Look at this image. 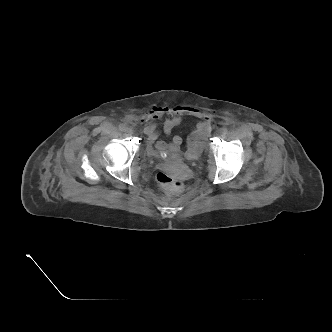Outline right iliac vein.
<instances>
[{
    "mask_svg": "<svg viewBox=\"0 0 332 332\" xmlns=\"http://www.w3.org/2000/svg\"><path fill=\"white\" fill-rule=\"evenodd\" d=\"M126 132H127L128 134H132V133H133V130H132L131 128H127V129H126Z\"/></svg>",
    "mask_w": 332,
    "mask_h": 332,
    "instance_id": "obj_1",
    "label": "right iliac vein"
}]
</instances>
